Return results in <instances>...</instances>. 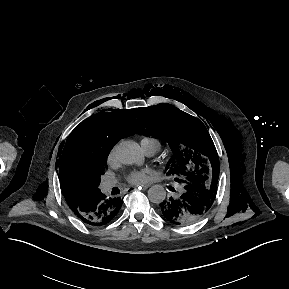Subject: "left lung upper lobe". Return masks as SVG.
I'll return each instance as SVG.
<instances>
[{"instance_id":"5c2ea615","label":"left lung upper lobe","mask_w":289,"mask_h":289,"mask_svg":"<svg viewBox=\"0 0 289 289\" xmlns=\"http://www.w3.org/2000/svg\"><path fill=\"white\" fill-rule=\"evenodd\" d=\"M137 112L141 118L137 133L159 136L174 153L168 175L176 174V181L183 185L201 179L205 184L218 182L216 148L199 119L168 104L139 108Z\"/></svg>"}]
</instances>
